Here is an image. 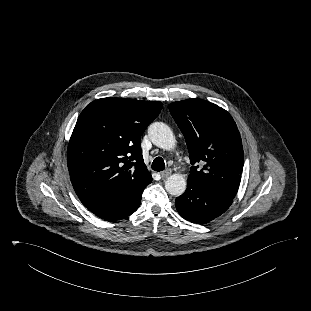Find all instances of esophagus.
<instances>
[{
    "label": "esophagus",
    "mask_w": 311,
    "mask_h": 311,
    "mask_svg": "<svg viewBox=\"0 0 311 311\" xmlns=\"http://www.w3.org/2000/svg\"><path fill=\"white\" fill-rule=\"evenodd\" d=\"M171 173H172L171 169H167V170H165L163 172H160V175H161L162 178H167V177H169L171 175Z\"/></svg>",
    "instance_id": "1"
}]
</instances>
